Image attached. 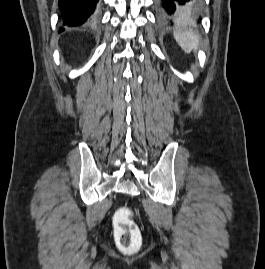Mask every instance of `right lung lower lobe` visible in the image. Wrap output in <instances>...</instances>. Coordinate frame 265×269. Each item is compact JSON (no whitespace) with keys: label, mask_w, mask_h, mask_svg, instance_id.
Listing matches in <instances>:
<instances>
[{"label":"right lung lower lobe","mask_w":265,"mask_h":269,"mask_svg":"<svg viewBox=\"0 0 265 269\" xmlns=\"http://www.w3.org/2000/svg\"><path fill=\"white\" fill-rule=\"evenodd\" d=\"M98 0H59L63 26H78L89 20ZM60 31L64 30V27Z\"/></svg>","instance_id":"1"}]
</instances>
